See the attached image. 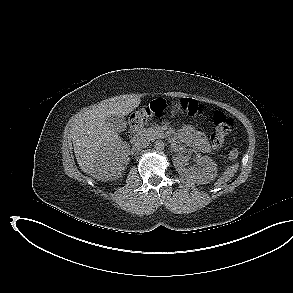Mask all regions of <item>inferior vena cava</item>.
Returning a JSON list of instances; mask_svg holds the SVG:
<instances>
[{
	"instance_id": "inferior-vena-cava-1",
	"label": "inferior vena cava",
	"mask_w": 293,
	"mask_h": 293,
	"mask_svg": "<svg viewBox=\"0 0 293 293\" xmlns=\"http://www.w3.org/2000/svg\"><path fill=\"white\" fill-rule=\"evenodd\" d=\"M149 144H150L149 140L141 139V140L135 142V144L133 145V150H139L142 148H146L149 146Z\"/></svg>"
}]
</instances>
